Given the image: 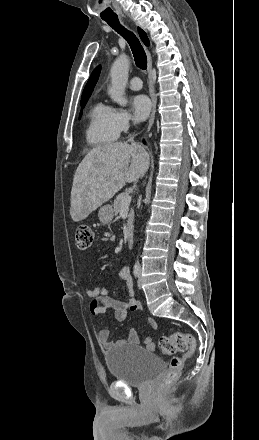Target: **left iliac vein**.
Here are the masks:
<instances>
[{
    "label": "left iliac vein",
    "mask_w": 259,
    "mask_h": 440,
    "mask_svg": "<svg viewBox=\"0 0 259 440\" xmlns=\"http://www.w3.org/2000/svg\"><path fill=\"white\" fill-rule=\"evenodd\" d=\"M138 287H142V277H141V268L139 267V278H138Z\"/></svg>",
    "instance_id": "obj_1"
}]
</instances>
